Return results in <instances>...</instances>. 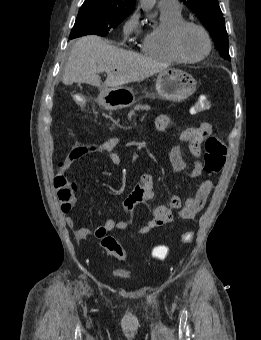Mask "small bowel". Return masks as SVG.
Masks as SVG:
<instances>
[{
    "label": "small bowel",
    "instance_id": "obj_1",
    "mask_svg": "<svg viewBox=\"0 0 261 340\" xmlns=\"http://www.w3.org/2000/svg\"><path fill=\"white\" fill-rule=\"evenodd\" d=\"M171 119L167 115H160L156 118V129L164 133L169 128ZM212 132V126L208 122H203L199 126L189 127L181 132L179 141L188 145L189 152L193 158V166L191 177L196 178L202 174L203 164L201 161V143ZM119 143L118 137H111L99 144H81L73 147L65 157L62 170L66 172L77 160L93 154L105 155L113 164L120 163V156L115 152V147ZM170 163L173 169L177 171L184 170L187 162L181 153L178 144L172 143L168 149ZM104 175H110V172H103ZM213 184L210 180H204L198 187L195 195L182 202L181 198L173 195L169 206L159 205L151 208L152 219L139 229L140 234H147L153 229L171 222L173 220V210H179V215L184 220L193 219L205 206L209 194L211 193ZM155 193L153 189V176L150 173H143L139 183L134 187L126 198L124 204L129 210H132L139 204H147L153 201ZM66 224L70 228H74V219L71 216L66 218ZM129 226L127 221H115L108 219L103 225L99 226L94 235L98 239H102L106 234L114 229L125 230ZM77 240L82 241L91 235V231L87 227H80L74 230Z\"/></svg>",
    "mask_w": 261,
    "mask_h": 340
}]
</instances>
